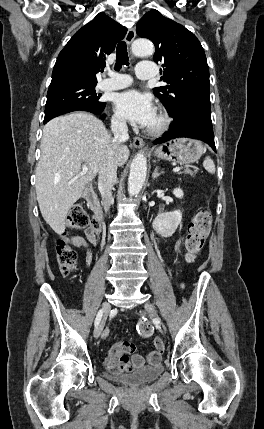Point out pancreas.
<instances>
[{"mask_svg": "<svg viewBox=\"0 0 264 429\" xmlns=\"http://www.w3.org/2000/svg\"><path fill=\"white\" fill-rule=\"evenodd\" d=\"M196 172H197V170L192 171V170H190L188 167H186V168H185V170H184V173H185V174H189V175H190V176H192V177H194V176H195Z\"/></svg>", "mask_w": 264, "mask_h": 429, "instance_id": "pancreas-1", "label": "pancreas"}]
</instances>
